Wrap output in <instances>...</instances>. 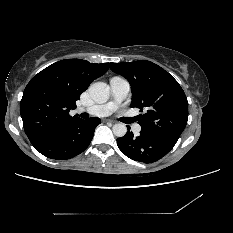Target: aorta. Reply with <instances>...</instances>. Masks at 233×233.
Masks as SVG:
<instances>
[{"instance_id":"aorta-1","label":"aorta","mask_w":233,"mask_h":233,"mask_svg":"<svg viewBox=\"0 0 233 233\" xmlns=\"http://www.w3.org/2000/svg\"><path fill=\"white\" fill-rule=\"evenodd\" d=\"M88 92L90 97L97 103H105L109 98V86L104 82H96L89 86ZM113 133L117 137H123L127 132V127L123 123L113 126Z\"/></svg>"}]
</instances>
